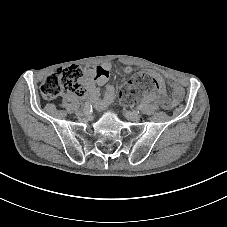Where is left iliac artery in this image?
<instances>
[{"label":"left iliac artery","mask_w":227,"mask_h":227,"mask_svg":"<svg viewBox=\"0 0 227 227\" xmlns=\"http://www.w3.org/2000/svg\"><path fill=\"white\" fill-rule=\"evenodd\" d=\"M142 108H143L142 105H138V106H137V110H142ZM138 112H139V111H138Z\"/></svg>","instance_id":"obj_1"}]
</instances>
